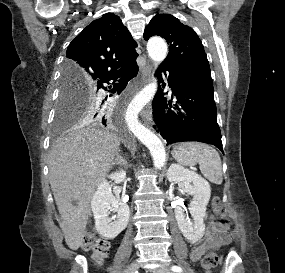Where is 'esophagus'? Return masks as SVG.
<instances>
[{
	"mask_svg": "<svg viewBox=\"0 0 285 273\" xmlns=\"http://www.w3.org/2000/svg\"><path fill=\"white\" fill-rule=\"evenodd\" d=\"M141 83L146 84L151 79V67L149 65L145 66L141 70ZM142 118L146 125H149L152 119L151 106L149 105L143 112Z\"/></svg>",
	"mask_w": 285,
	"mask_h": 273,
	"instance_id": "34e87169",
	"label": "esophagus"
}]
</instances>
